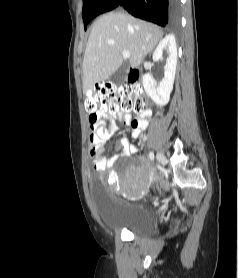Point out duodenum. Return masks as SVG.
Wrapping results in <instances>:
<instances>
[{
	"instance_id": "duodenum-1",
	"label": "duodenum",
	"mask_w": 238,
	"mask_h": 278,
	"mask_svg": "<svg viewBox=\"0 0 238 278\" xmlns=\"http://www.w3.org/2000/svg\"><path fill=\"white\" fill-rule=\"evenodd\" d=\"M138 79H139V72L135 69H131L127 77L128 83L134 84L138 81Z\"/></svg>"
}]
</instances>
